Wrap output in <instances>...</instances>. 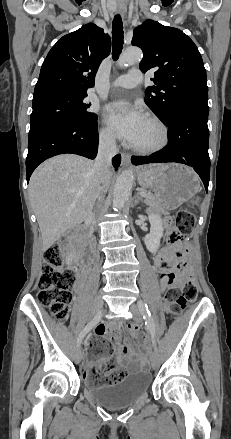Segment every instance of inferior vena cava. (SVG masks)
<instances>
[{"instance_id": "602c4592", "label": "inferior vena cava", "mask_w": 231, "mask_h": 439, "mask_svg": "<svg viewBox=\"0 0 231 439\" xmlns=\"http://www.w3.org/2000/svg\"><path fill=\"white\" fill-rule=\"evenodd\" d=\"M115 139L110 135L100 138L98 153L94 162V168L98 172L100 181L99 198L101 200L109 187V178L111 176L112 158L117 154ZM93 217L94 214H91Z\"/></svg>"}]
</instances>
